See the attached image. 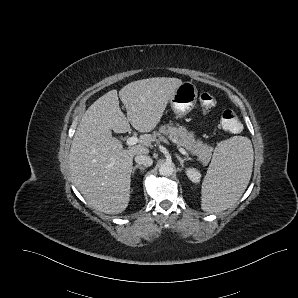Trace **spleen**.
Masks as SVG:
<instances>
[{
  "mask_svg": "<svg viewBox=\"0 0 298 298\" xmlns=\"http://www.w3.org/2000/svg\"><path fill=\"white\" fill-rule=\"evenodd\" d=\"M251 140L233 136L219 142L201 188V209L219 213L234 205L246 190L253 169Z\"/></svg>",
  "mask_w": 298,
  "mask_h": 298,
  "instance_id": "obj_1",
  "label": "spleen"
}]
</instances>
